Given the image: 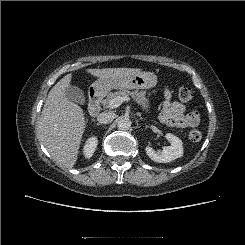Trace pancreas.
I'll return each instance as SVG.
<instances>
[{
  "mask_svg": "<svg viewBox=\"0 0 245 245\" xmlns=\"http://www.w3.org/2000/svg\"><path fill=\"white\" fill-rule=\"evenodd\" d=\"M131 96L138 104L144 105L146 108H149V101L146 98L145 91H128V90H120L117 92H111L107 95L105 99L102 100V104L104 107L109 108V103L113 98L116 97H129Z\"/></svg>",
  "mask_w": 245,
  "mask_h": 245,
  "instance_id": "cf45deb5",
  "label": "pancreas"
}]
</instances>
